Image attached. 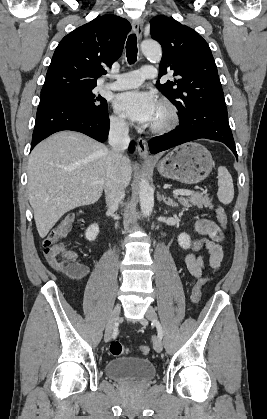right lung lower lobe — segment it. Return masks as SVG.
Returning <instances> with one entry per match:
<instances>
[{"instance_id": "obj_1", "label": "right lung lower lobe", "mask_w": 267, "mask_h": 419, "mask_svg": "<svg viewBox=\"0 0 267 419\" xmlns=\"http://www.w3.org/2000/svg\"><path fill=\"white\" fill-rule=\"evenodd\" d=\"M109 123L108 109L101 114H91L67 101L48 95L41 96L31 149L49 135L62 130L78 131L104 142L108 137ZM129 149L134 151L133 142Z\"/></svg>"}]
</instances>
